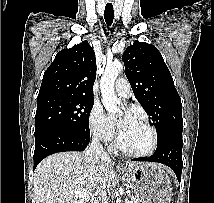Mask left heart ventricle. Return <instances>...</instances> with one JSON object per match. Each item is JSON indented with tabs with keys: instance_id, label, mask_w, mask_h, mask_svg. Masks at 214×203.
<instances>
[{
	"instance_id": "left-heart-ventricle-1",
	"label": "left heart ventricle",
	"mask_w": 214,
	"mask_h": 203,
	"mask_svg": "<svg viewBox=\"0 0 214 203\" xmlns=\"http://www.w3.org/2000/svg\"><path fill=\"white\" fill-rule=\"evenodd\" d=\"M150 131L138 120L133 119L120 128V141L124 148L141 152L150 147L151 144Z\"/></svg>"
}]
</instances>
